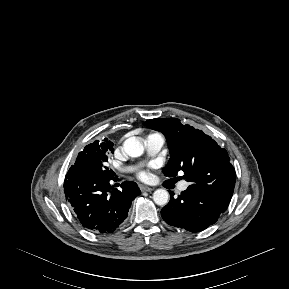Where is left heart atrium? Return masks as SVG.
<instances>
[{"label":"left heart atrium","mask_w":289,"mask_h":289,"mask_svg":"<svg viewBox=\"0 0 289 289\" xmlns=\"http://www.w3.org/2000/svg\"><path fill=\"white\" fill-rule=\"evenodd\" d=\"M138 176L141 179H146L148 177V173H147V171H141V172H139Z\"/></svg>","instance_id":"1"}]
</instances>
